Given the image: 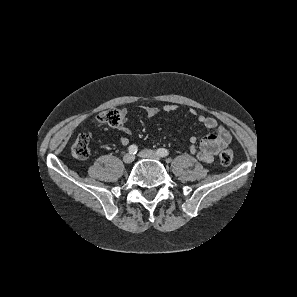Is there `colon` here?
Masks as SVG:
<instances>
[{"label":"colon","instance_id":"obj_1","mask_svg":"<svg viewBox=\"0 0 297 297\" xmlns=\"http://www.w3.org/2000/svg\"><path fill=\"white\" fill-rule=\"evenodd\" d=\"M123 114L118 109H109L98 115V121L112 127L122 124ZM72 155L79 160L86 159L90 154L89 138L85 134H80L71 147ZM233 151L224 149L219 154V161L222 165L228 166L233 161Z\"/></svg>","mask_w":297,"mask_h":297}]
</instances>
